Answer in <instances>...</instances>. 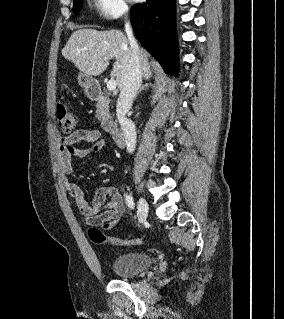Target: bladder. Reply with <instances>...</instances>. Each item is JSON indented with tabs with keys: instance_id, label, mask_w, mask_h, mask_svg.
Masks as SVG:
<instances>
[{
	"instance_id": "bladder-1",
	"label": "bladder",
	"mask_w": 284,
	"mask_h": 319,
	"mask_svg": "<svg viewBox=\"0 0 284 319\" xmlns=\"http://www.w3.org/2000/svg\"><path fill=\"white\" fill-rule=\"evenodd\" d=\"M153 262V257L146 252H124L112 259L110 268L116 276L129 278L150 268Z\"/></svg>"
}]
</instances>
